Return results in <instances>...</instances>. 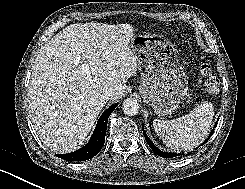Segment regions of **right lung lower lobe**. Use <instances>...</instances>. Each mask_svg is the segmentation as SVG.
Returning a JSON list of instances; mask_svg holds the SVG:
<instances>
[{
  "label": "right lung lower lobe",
  "instance_id": "obj_1",
  "mask_svg": "<svg viewBox=\"0 0 245 189\" xmlns=\"http://www.w3.org/2000/svg\"><path fill=\"white\" fill-rule=\"evenodd\" d=\"M115 107L111 106L101 115L90 141L85 146L69 154H57V157L68 161H85L97 155L104 145L108 117Z\"/></svg>",
  "mask_w": 245,
  "mask_h": 189
}]
</instances>
